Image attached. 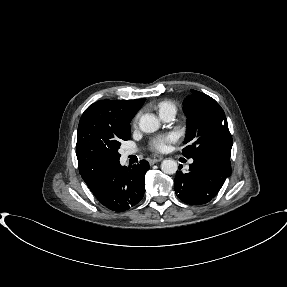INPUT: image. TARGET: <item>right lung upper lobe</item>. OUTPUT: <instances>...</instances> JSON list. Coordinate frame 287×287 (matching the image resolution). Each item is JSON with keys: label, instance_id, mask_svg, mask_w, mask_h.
<instances>
[{"label": "right lung upper lobe", "instance_id": "1", "mask_svg": "<svg viewBox=\"0 0 287 287\" xmlns=\"http://www.w3.org/2000/svg\"><path fill=\"white\" fill-rule=\"evenodd\" d=\"M145 99L101 100L90 105L82 114L76 155L79 172L89 186L106 166L116 163L113 150L116 144L130 138V121Z\"/></svg>", "mask_w": 287, "mask_h": 287}]
</instances>
